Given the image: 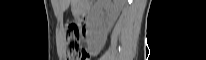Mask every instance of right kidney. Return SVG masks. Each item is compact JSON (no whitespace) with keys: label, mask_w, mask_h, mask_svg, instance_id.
<instances>
[{"label":"right kidney","mask_w":206,"mask_h":60,"mask_svg":"<svg viewBox=\"0 0 206 60\" xmlns=\"http://www.w3.org/2000/svg\"><path fill=\"white\" fill-rule=\"evenodd\" d=\"M121 4L117 1L104 0L98 7H96L91 20V34L94 37L96 46L102 47L106 41L108 30L101 25L98 14L102 8H106L110 12V23L112 26L119 15Z\"/></svg>","instance_id":"right-kidney-1"}]
</instances>
